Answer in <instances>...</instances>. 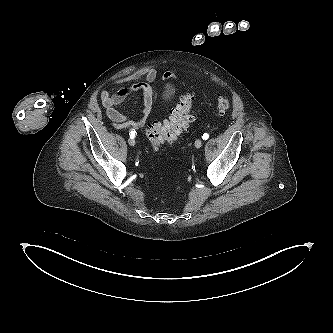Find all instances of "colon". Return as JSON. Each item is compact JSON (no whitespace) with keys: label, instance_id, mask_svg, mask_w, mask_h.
Instances as JSON below:
<instances>
[{"label":"colon","instance_id":"1","mask_svg":"<svg viewBox=\"0 0 333 333\" xmlns=\"http://www.w3.org/2000/svg\"><path fill=\"white\" fill-rule=\"evenodd\" d=\"M193 103L194 95L192 93L185 94L166 121L163 123L155 121L148 125L145 132L151 150L156 151L165 143H176L180 140L182 134L194 120ZM216 106L221 114H226L230 108V103L225 96L218 95Z\"/></svg>","mask_w":333,"mask_h":333}]
</instances>
